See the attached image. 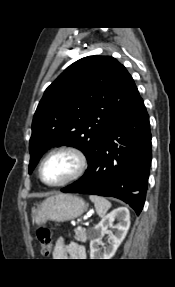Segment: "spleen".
Instances as JSON below:
<instances>
[{
    "instance_id": "3e777b00",
    "label": "spleen",
    "mask_w": 175,
    "mask_h": 287,
    "mask_svg": "<svg viewBox=\"0 0 175 287\" xmlns=\"http://www.w3.org/2000/svg\"><path fill=\"white\" fill-rule=\"evenodd\" d=\"M89 198L94 203L96 212L101 217H103L111 207V203L104 197L97 195H90Z\"/></svg>"
}]
</instances>
